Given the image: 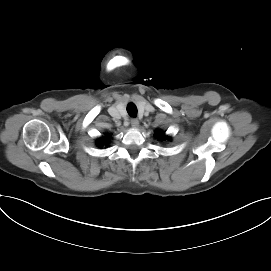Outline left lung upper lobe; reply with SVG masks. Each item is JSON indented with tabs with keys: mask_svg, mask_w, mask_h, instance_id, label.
Returning <instances> with one entry per match:
<instances>
[{
	"mask_svg": "<svg viewBox=\"0 0 271 271\" xmlns=\"http://www.w3.org/2000/svg\"><path fill=\"white\" fill-rule=\"evenodd\" d=\"M155 136L159 139V140H166V139H168V140H170L167 136H165V134H164V132H162L161 130H157L156 132H155Z\"/></svg>",
	"mask_w": 271,
	"mask_h": 271,
	"instance_id": "1",
	"label": "left lung upper lobe"
}]
</instances>
